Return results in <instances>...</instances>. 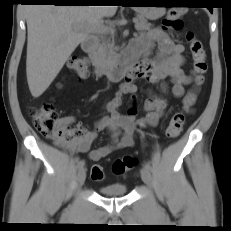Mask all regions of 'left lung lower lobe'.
<instances>
[{"label": "left lung lower lobe", "mask_w": 231, "mask_h": 231, "mask_svg": "<svg viewBox=\"0 0 231 231\" xmlns=\"http://www.w3.org/2000/svg\"><path fill=\"white\" fill-rule=\"evenodd\" d=\"M208 9H209V10H210V12L212 13V11H213V10H212V7H208Z\"/></svg>", "instance_id": "0a47b994"}]
</instances>
